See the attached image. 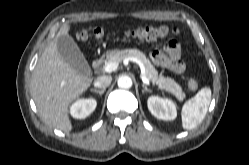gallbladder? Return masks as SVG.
Instances as JSON below:
<instances>
[{
	"mask_svg": "<svg viewBox=\"0 0 249 165\" xmlns=\"http://www.w3.org/2000/svg\"><path fill=\"white\" fill-rule=\"evenodd\" d=\"M57 49L62 58L79 74L88 75L90 73L88 62L71 36H60L57 40Z\"/></svg>",
	"mask_w": 249,
	"mask_h": 165,
	"instance_id": "bac80fb5",
	"label": "gallbladder"
}]
</instances>
